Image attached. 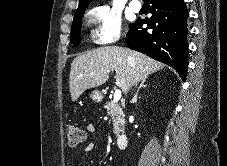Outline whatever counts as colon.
Masks as SVG:
<instances>
[{"mask_svg": "<svg viewBox=\"0 0 227 166\" xmlns=\"http://www.w3.org/2000/svg\"><path fill=\"white\" fill-rule=\"evenodd\" d=\"M65 134L70 146H76L82 143L86 138L85 133L75 124L66 125Z\"/></svg>", "mask_w": 227, "mask_h": 166, "instance_id": "1", "label": "colon"}]
</instances>
